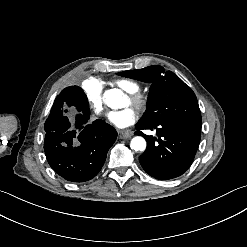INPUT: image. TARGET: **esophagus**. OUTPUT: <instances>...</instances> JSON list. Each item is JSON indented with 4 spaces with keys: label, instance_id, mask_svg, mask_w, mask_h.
<instances>
[{
    "label": "esophagus",
    "instance_id": "34e87169",
    "mask_svg": "<svg viewBox=\"0 0 247 247\" xmlns=\"http://www.w3.org/2000/svg\"><path fill=\"white\" fill-rule=\"evenodd\" d=\"M120 133H121L122 138H124V139L130 138L131 136L134 135V132L131 130H128V129L122 130Z\"/></svg>",
    "mask_w": 247,
    "mask_h": 247
}]
</instances>
